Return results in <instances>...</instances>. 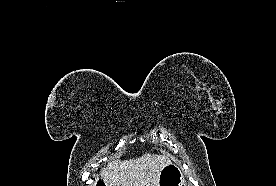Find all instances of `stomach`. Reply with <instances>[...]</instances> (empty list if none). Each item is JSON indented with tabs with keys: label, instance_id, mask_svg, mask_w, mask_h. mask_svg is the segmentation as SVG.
Masks as SVG:
<instances>
[{
	"label": "stomach",
	"instance_id": "0dacf381",
	"mask_svg": "<svg viewBox=\"0 0 276 186\" xmlns=\"http://www.w3.org/2000/svg\"><path fill=\"white\" fill-rule=\"evenodd\" d=\"M158 182V186H186L182 170L172 162L162 168Z\"/></svg>",
	"mask_w": 276,
	"mask_h": 186
}]
</instances>
